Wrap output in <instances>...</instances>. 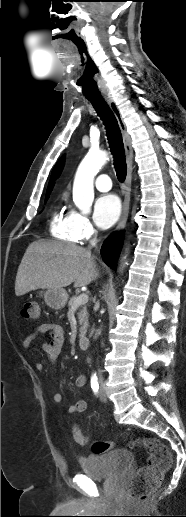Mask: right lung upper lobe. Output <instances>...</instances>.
I'll return each mask as SVG.
<instances>
[{
	"label": "right lung upper lobe",
	"mask_w": 186,
	"mask_h": 517,
	"mask_svg": "<svg viewBox=\"0 0 186 517\" xmlns=\"http://www.w3.org/2000/svg\"><path fill=\"white\" fill-rule=\"evenodd\" d=\"M63 164H64V156L58 160V162L56 163V165L53 168V171H52V174L50 177V181H49V185L47 188V192H49V191L51 192L52 187L54 185V181L59 177Z\"/></svg>",
	"instance_id": "1"
}]
</instances>
